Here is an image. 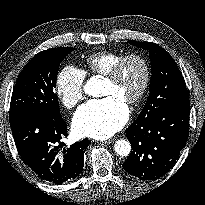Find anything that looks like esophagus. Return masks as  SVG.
Returning a JSON list of instances; mask_svg holds the SVG:
<instances>
[{"mask_svg":"<svg viewBox=\"0 0 205 205\" xmlns=\"http://www.w3.org/2000/svg\"><path fill=\"white\" fill-rule=\"evenodd\" d=\"M113 142H114V139H108V140L102 141V143L104 144H111Z\"/></svg>","mask_w":205,"mask_h":205,"instance_id":"1","label":"esophagus"}]
</instances>
